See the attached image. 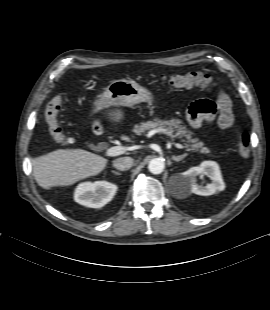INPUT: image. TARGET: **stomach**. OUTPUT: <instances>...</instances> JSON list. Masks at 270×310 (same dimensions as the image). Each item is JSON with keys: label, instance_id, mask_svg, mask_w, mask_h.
Returning <instances> with one entry per match:
<instances>
[{"label": "stomach", "instance_id": "0dacf381", "mask_svg": "<svg viewBox=\"0 0 270 310\" xmlns=\"http://www.w3.org/2000/svg\"><path fill=\"white\" fill-rule=\"evenodd\" d=\"M151 92L133 80L119 79L112 81L98 99V107L132 106L140 102H151Z\"/></svg>", "mask_w": 270, "mask_h": 310}]
</instances>
